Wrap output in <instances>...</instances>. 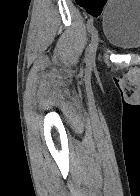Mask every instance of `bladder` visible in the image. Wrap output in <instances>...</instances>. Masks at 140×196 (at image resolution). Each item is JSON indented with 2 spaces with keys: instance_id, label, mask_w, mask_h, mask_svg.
I'll return each instance as SVG.
<instances>
[{
  "instance_id": "31cf9c89",
  "label": "bladder",
  "mask_w": 140,
  "mask_h": 196,
  "mask_svg": "<svg viewBox=\"0 0 140 196\" xmlns=\"http://www.w3.org/2000/svg\"><path fill=\"white\" fill-rule=\"evenodd\" d=\"M103 34L117 49L140 50V0H111L103 14Z\"/></svg>"
}]
</instances>
